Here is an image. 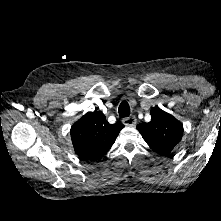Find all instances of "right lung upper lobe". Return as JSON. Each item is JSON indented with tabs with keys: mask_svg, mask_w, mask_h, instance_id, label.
Returning <instances> with one entry per match:
<instances>
[{
	"mask_svg": "<svg viewBox=\"0 0 221 221\" xmlns=\"http://www.w3.org/2000/svg\"><path fill=\"white\" fill-rule=\"evenodd\" d=\"M123 127L120 122L109 124L100 111L86 113L70 130L75 152L81 160H100Z\"/></svg>",
	"mask_w": 221,
	"mask_h": 221,
	"instance_id": "obj_1",
	"label": "right lung upper lobe"
}]
</instances>
